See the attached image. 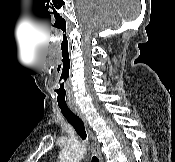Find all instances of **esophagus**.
Segmentation results:
<instances>
[{
    "label": "esophagus",
    "mask_w": 175,
    "mask_h": 162,
    "mask_svg": "<svg viewBox=\"0 0 175 162\" xmlns=\"http://www.w3.org/2000/svg\"><path fill=\"white\" fill-rule=\"evenodd\" d=\"M72 110L75 114H77L82 121L84 122V125L86 127L90 142H91V149L92 152L98 157L99 162H103L102 156H101V151H100V145L95 137V135L93 134V132L90 129V126L84 116V114L81 112V110L78 107H72Z\"/></svg>",
    "instance_id": "34e87169"
}]
</instances>
